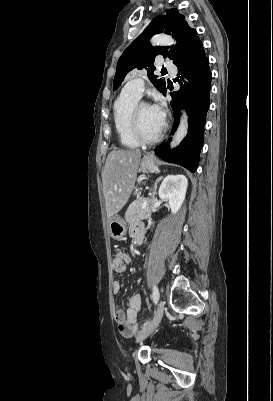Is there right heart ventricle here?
<instances>
[{
  "mask_svg": "<svg viewBox=\"0 0 273 401\" xmlns=\"http://www.w3.org/2000/svg\"><path fill=\"white\" fill-rule=\"evenodd\" d=\"M139 99L131 94L122 93L113 103V122L120 143L128 148H138L142 145L130 133L129 119L130 113Z\"/></svg>",
  "mask_w": 273,
  "mask_h": 401,
  "instance_id": "e07e8e85",
  "label": "right heart ventricle"
}]
</instances>
